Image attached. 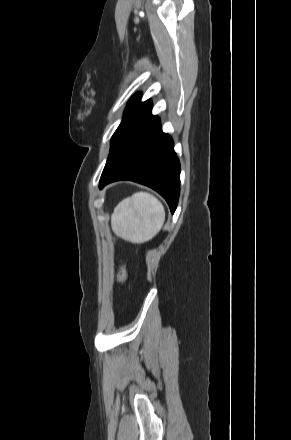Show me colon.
Returning <instances> with one entry per match:
<instances>
[{
	"label": "colon",
	"mask_w": 291,
	"mask_h": 440,
	"mask_svg": "<svg viewBox=\"0 0 291 440\" xmlns=\"http://www.w3.org/2000/svg\"><path fill=\"white\" fill-rule=\"evenodd\" d=\"M118 278L120 281H123L126 278V268L124 265H121L119 268Z\"/></svg>",
	"instance_id": "1"
}]
</instances>
